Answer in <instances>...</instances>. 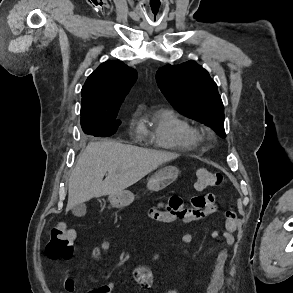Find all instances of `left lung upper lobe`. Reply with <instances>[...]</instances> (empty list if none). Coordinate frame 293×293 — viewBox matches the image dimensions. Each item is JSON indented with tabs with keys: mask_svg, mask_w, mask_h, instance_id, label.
I'll list each match as a JSON object with an SVG mask.
<instances>
[{
	"mask_svg": "<svg viewBox=\"0 0 293 293\" xmlns=\"http://www.w3.org/2000/svg\"><path fill=\"white\" fill-rule=\"evenodd\" d=\"M156 81L178 112L226 137L223 103L216 83L204 68L192 60L176 66L168 64L157 71Z\"/></svg>",
	"mask_w": 293,
	"mask_h": 293,
	"instance_id": "5c2ea615",
	"label": "left lung upper lobe"
}]
</instances>
